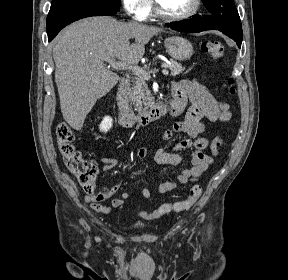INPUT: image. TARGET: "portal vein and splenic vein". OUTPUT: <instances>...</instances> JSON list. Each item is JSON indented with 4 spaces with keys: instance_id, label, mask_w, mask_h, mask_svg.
I'll return each mask as SVG.
<instances>
[{
    "instance_id": "18ae733b",
    "label": "portal vein and splenic vein",
    "mask_w": 288,
    "mask_h": 280,
    "mask_svg": "<svg viewBox=\"0 0 288 280\" xmlns=\"http://www.w3.org/2000/svg\"><path fill=\"white\" fill-rule=\"evenodd\" d=\"M104 59L116 70H121V69L122 70H131L136 75H141L142 77H144L147 80L150 78V74L138 66L131 65L129 63L115 61V59L112 57H105ZM162 73L164 75H169V71L166 69L165 66H164V69L162 70Z\"/></svg>"
}]
</instances>
